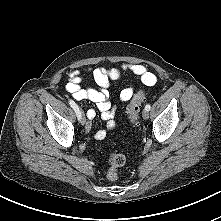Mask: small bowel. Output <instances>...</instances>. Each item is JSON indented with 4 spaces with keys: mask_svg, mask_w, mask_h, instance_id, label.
Returning a JSON list of instances; mask_svg holds the SVG:
<instances>
[{
    "mask_svg": "<svg viewBox=\"0 0 221 221\" xmlns=\"http://www.w3.org/2000/svg\"><path fill=\"white\" fill-rule=\"evenodd\" d=\"M85 71L92 74L98 88H85L81 85ZM127 72L140 77L141 82L146 86H152L156 82L155 74L149 71L143 64L138 63L124 62L120 64L119 67L112 69H105L102 67L74 69L68 74V82L65 86L66 91L76 100H89L94 102L101 113L102 119L106 121V129L97 131L93 136L95 140H103L107 135V131L115 127L114 118L116 109L109 99L108 88L111 82L120 79L123 74ZM135 91L136 88L133 85L125 87L119 94L120 101L126 102L130 100ZM86 116L88 118V123L85 126V130L89 131L91 129L90 121L96 116L95 110L89 109Z\"/></svg>",
    "mask_w": 221,
    "mask_h": 221,
    "instance_id": "1",
    "label": "small bowel"
}]
</instances>
